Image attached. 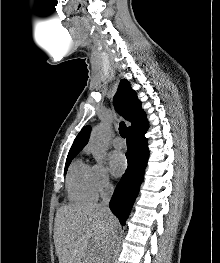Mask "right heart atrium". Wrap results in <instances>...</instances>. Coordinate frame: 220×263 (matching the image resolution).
<instances>
[{"label": "right heart atrium", "mask_w": 220, "mask_h": 263, "mask_svg": "<svg viewBox=\"0 0 220 263\" xmlns=\"http://www.w3.org/2000/svg\"><path fill=\"white\" fill-rule=\"evenodd\" d=\"M93 179L98 193L108 192L112 186V178L108 169L102 164H95L92 166Z\"/></svg>", "instance_id": "1"}]
</instances>
